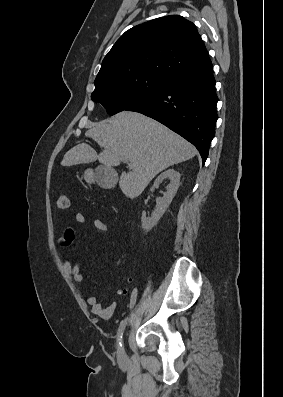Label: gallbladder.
Here are the masks:
<instances>
[{
    "instance_id": "1",
    "label": "gallbladder",
    "mask_w": 283,
    "mask_h": 397,
    "mask_svg": "<svg viewBox=\"0 0 283 397\" xmlns=\"http://www.w3.org/2000/svg\"><path fill=\"white\" fill-rule=\"evenodd\" d=\"M95 179L102 188L111 189L117 184L118 176L114 169L106 166H99L96 169Z\"/></svg>"
}]
</instances>
